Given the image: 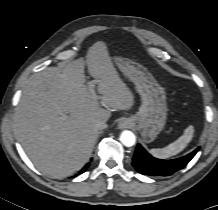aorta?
Returning a JSON list of instances; mask_svg holds the SVG:
<instances>
[{"mask_svg": "<svg viewBox=\"0 0 218 210\" xmlns=\"http://www.w3.org/2000/svg\"><path fill=\"white\" fill-rule=\"evenodd\" d=\"M120 141L122 142L123 145L127 147H131L135 144L136 137L133 132L125 130L120 135Z\"/></svg>", "mask_w": 218, "mask_h": 210, "instance_id": "aorta-1", "label": "aorta"}]
</instances>
